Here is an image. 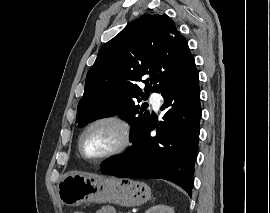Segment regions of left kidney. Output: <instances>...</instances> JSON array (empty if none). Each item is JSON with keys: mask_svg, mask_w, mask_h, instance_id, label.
<instances>
[{"mask_svg": "<svg viewBox=\"0 0 270 213\" xmlns=\"http://www.w3.org/2000/svg\"><path fill=\"white\" fill-rule=\"evenodd\" d=\"M145 213H174V210L170 206L158 204L149 208Z\"/></svg>", "mask_w": 270, "mask_h": 213, "instance_id": "obj_1", "label": "left kidney"}]
</instances>
